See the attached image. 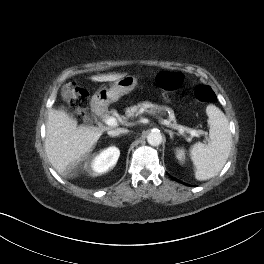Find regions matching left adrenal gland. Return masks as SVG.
I'll return each instance as SVG.
<instances>
[{
	"label": "left adrenal gland",
	"instance_id": "1",
	"mask_svg": "<svg viewBox=\"0 0 264 264\" xmlns=\"http://www.w3.org/2000/svg\"><path fill=\"white\" fill-rule=\"evenodd\" d=\"M165 131L169 133L171 139H173L174 134L179 135L178 133L173 132V131H171V130H167V129H166Z\"/></svg>",
	"mask_w": 264,
	"mask_h": 264
}]
</instances>
